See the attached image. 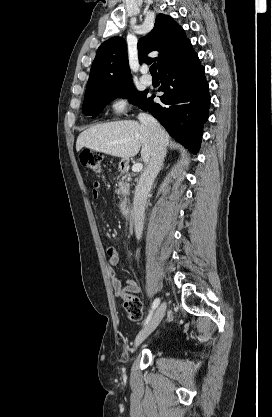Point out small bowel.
<instances>
[{
  "instance_id": "small-bowel-1",
  "label": "small bowel",
  "mask_w": 272,
  "mask_h": 417,
  "mask_svg": "<svg viewBox=\"0 0 272 417\" xmlns=\"http://www.w3.org/2000/svg\"><path fill=\"white\" fill-rule=\"evenodd\" d=\"M100 183L94 182L92 187V197L93 199H98L99 197ZM106 253L108 255V264H109V275L112 281L113 292L116 297L123 298L124 293L128 294H137L140 291V287L136 280L126 279L125 285L122 284L121 280L118 278L115 271V267L120 263V255L118 250L114 246H108L106 248Z\"/></svg>"
}]
</instances>
